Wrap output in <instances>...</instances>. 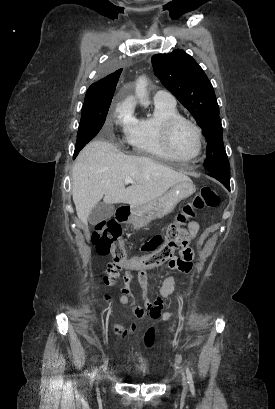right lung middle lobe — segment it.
Returning a JSON list of instances; mask_svg holds the SVG:
<instances>
[{
    "mask_svg": "<svg viewBox=\"0 0 275 409\" xmlns=\"http://www.w3.org/2000/svg\"><path fill=\"white\" fill-rule=\"evenodd\" d=\"M108 63L109 64H101V73L121 72V65L115 64L116 60L114 58H110ZM110 104L111 102L100 104L84 103L73 159H75L80 150L98 134L106 120Z\"/></svg>",
    "mask_w": 275,
    "mask_h": 409,
    "instance_id": "dd1d6c3e",
    "label": "right lung middle lobe"
}]
</instances>
